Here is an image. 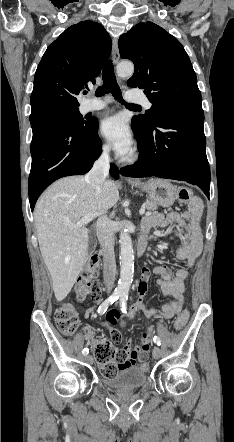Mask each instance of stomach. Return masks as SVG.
<instances>
[{"instance_id":"1","label":"stomach","mask_w":234,"mask_h":442,"mask_svg":"<svg viewBox=\"0 0 234 442\" xmlns=\"http://www.w3.org/2000/svg\"><path fill=\"white\" fill-rule=\"evenodd\" d=\"M140 187L147 192L151 201L157 202L163 207L171 206L177 197L176 187L166 180L150 179Z\"/></svg>"}]
</instances>
